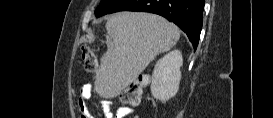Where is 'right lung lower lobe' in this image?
<instances>
[{"instance_id": "98d812e1", "label": "right lung lower lobe", "mask_w": 273, "mask_h": 118, "mask_svg": "<svg viewBox=\"0 0 273 118\" xmlns=\"http://www.w3.org/2000/svg\"><path fill=\"white\" fill-rule=\"evenodd\" d=\"M205 0H124L111 13L142 11L155 13L174 22L197 48L203 23Z\"/></svg>"}]
</instances>
